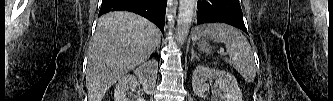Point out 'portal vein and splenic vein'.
<instances>
[{"instance_id": "obj_1", "label": "portal vein and splenic vein", "mask_w": 333, "mask_h": 101, "mask_svg": "<svg viewBox=\"0 0 333 101\" xmlns=\"http://www.w3.org/2000/svg\"><path fill=\"white\" fill-rule=\"evenodd\" d=\"M220 52H221V53H224V51H223V50H220Z\"/></svg>"}]
</instances>
